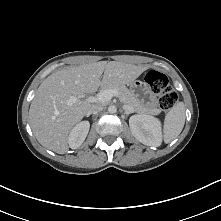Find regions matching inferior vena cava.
Returning <instances> with one entry per match:
<instances>
[{
  "label": "inferior vena cava",
  "mask_w": 221,
  "mask_h": 221,
  "mask_svg": "<svg viewBox=\"0 0 221 221\" xmlns=\"http://www.w3.org/2000/svg\"><path fill=\"white\" fill-rule=\"evenodd\" d=\"M103 110V106L102 105H92L91 110L89 111L88 114H95V113H99Z\"/></svg>",
  "instance_id": "1"
}]
</instances>
